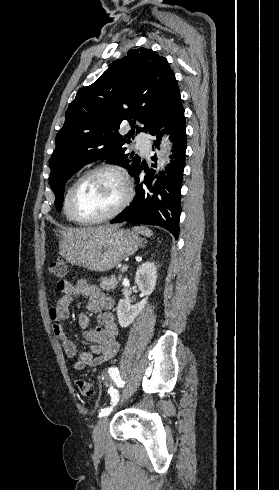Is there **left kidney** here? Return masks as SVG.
I'll return each mask as SVG.
<instances>
[{
    "label": "left kidney",
    "mask_w": 279,
    "mask_h": 490,
    "mask_svg": "<svg viewBox=\"0 0 279 490\" xmlns=\"http://www.w3.org/2000/svg\"><path fill=\"white\" fill-rule=\"evenodd\" d=\"M156 270L157 268L154 262H145V264L139 266L135 274V284H137L145 298L141 302L134 304V306H132L130 300H127V298L126 300H119L116 310L118 324L121 328H128L134 322L135 318H137L138 314H141L142 310H144L148 302V296L155 290L157 282Z\"/></svg>",
    "instance_id": "left-kidney-1"
}]
</instances>
